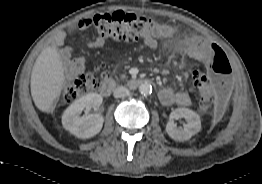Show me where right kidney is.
Returning <instances> with one entry per match:
<instances>
[{
  "instance_id": "ca27d5eb",
  "label": "right kidney",
  "mask_w": 262,
  "mask_h": 184,
  "mask_svg": "<svg viewBox=\"0 0 262 184\" xmlns=\"http://www.w3.org/2000/svg\"><path fill=\"white\" fill-rule=\"evenodd\" d=\"M102 97L97 93L87 94L72 103L62 115V125L74 136L88 139L100 132L104 118L100 114L80 116L85 108H99Z\"/></svg>"
}]
</instances>
